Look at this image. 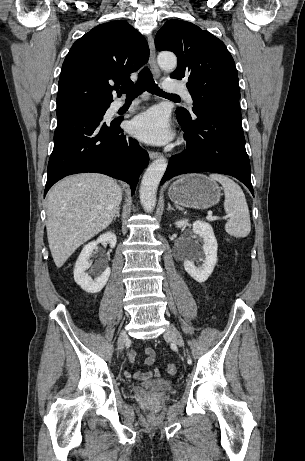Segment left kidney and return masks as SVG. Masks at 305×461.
Here are the masks:
<instances>
[{
    "label": "left kidney",
    "mask_w": 305,
    "mask_h": 461,
    "mask_svg": "<svg viewBox=\"0 0 305 461\" xmlns=\"http://www.w3.org/2000/svg\"><path fill=\"white\" fill-rule=\"evenodd\" d=\"M188 224V220H180L176 222V226L181 228ZM193 233L199 235L203 239L201 250L196 245H186L188 251L187 257L190 258L194 253H198L202 257L203 264L196 267L191 260H184V268L186 272L197 282H205L212 274L217 263L218 244L215 238L213 229L210 224L203 221L193 223Z\"/></svg>",
    "instance_id": "left-kidney-1"
}]
</instances>
